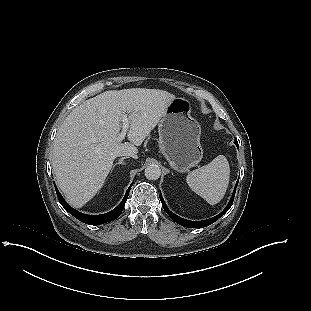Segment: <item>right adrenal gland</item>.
Wrapping results in <instances>:
<instances>
[{
    "mask_svg": "<svg viewBox=\"0 0 311 311\" xmlns=\"http://www.w3.org/2000/svg\"><path fill=\"white\" fill-rule=\"evenodd\" d=\"M128 157H122L117 163H115L114 165H113V168H112V170L115 168V166H117V165H124L125 164V162H123L124 161V159H127Z\"/></svg>",
    "mask_w": 311,
    "mask_h": 311,
    "instance_id": "2a0ac1e0",
    "label": "right adrenal gland"
}]
</instances>
